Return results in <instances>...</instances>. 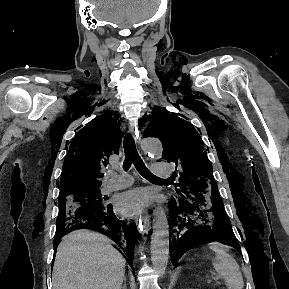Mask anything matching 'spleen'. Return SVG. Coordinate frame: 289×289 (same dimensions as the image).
<instances>
[{
	"label": "spleen",
	"mask_w": 289,
	"mask_h": 289,
	"mask_svg": "<svg viewBox=\"0 0 289 289\" xmlns=\"http://www.w3.org/2000/svg\"><path fill=\"white\" fill-rule=\"evenodd\" d=\"M208 248L216 255L212 265L217 276L224 280L227 289H243L244 281L239 265L225 246L212 242L208 244Z\"/></svg>",
	"instance_id": "obj_1"
}]
</instances>
